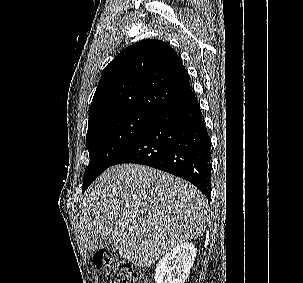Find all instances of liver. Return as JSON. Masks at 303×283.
I'll list each match as a JSON object with an SVG mask.
<instances>
[{
	"instance_id": "obj_1",
	"label": "liver",
	"mask_w": 303,
	"mask_h": 283,
	"mask_svg": "<svg viewBox=\"0 0 303 283\" xmlns=\"http://www.w3.org/2000/svg\"><path fill=\"white\" fill-rule=\"evenodd\" d=\"M207 211L205 196L185 180L122 164L104 171L84 193L78 227L87 250L110 236L121 256L149 267L176 245L202 236Z\"/></svg>"
}]
</instances>
